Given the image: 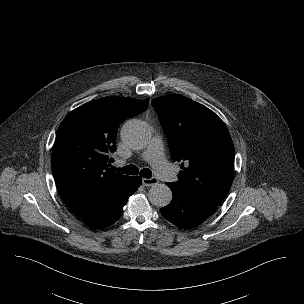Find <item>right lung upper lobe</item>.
Wrapping results in <instances>:
<instances>
[{
  "mask_svg": "<svg viewBox=\"0 0 304 304\" xmlns=\"http://www.w3.org/2000/svg\"><path fill=\"white\" fill-rule=\"evenodd\" d=\"M149 99L105 97L71 111L60 124L51 167L59 193L83 219L129 176L110 167L119 125L144 112Z\"/></svg>",
  "mask_w": 304,
  "mask_h": 304,
  "instance_id": "cb5924a9",
  "label": "right lung upper lobe"
}]
</instances>
